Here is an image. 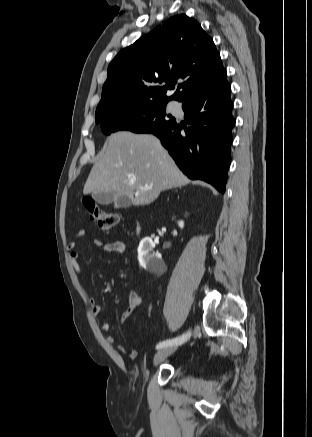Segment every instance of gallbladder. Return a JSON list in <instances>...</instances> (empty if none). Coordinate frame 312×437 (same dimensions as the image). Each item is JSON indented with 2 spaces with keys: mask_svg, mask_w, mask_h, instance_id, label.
<instances>
[{
  "mask_svg": "<svg viewBox=\"0 0 312 437\" xmlns=\"http://www.w3.org/2000/svg\"><path fill=\"white\" fill-rule=\"evenodd\" d=\"M92 198L99 204H110L114 201L112 192H97L92 194ZM117 207H129L131 201L125 197H121L116 202Z\"/></svg>",
  "mask_w": 312,
  "mask_h": 437,
  "instance_id": "1",
  "label": "gallbladder"
}]
</instances>
